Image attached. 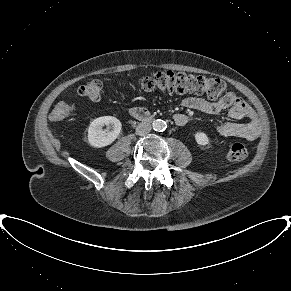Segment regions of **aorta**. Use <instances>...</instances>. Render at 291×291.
I'll list each match as a JSON object with an SVG mask.
<instances>
[{
  "instance_id": "obj_1",
  "label": "aorta",
  "mask_w": 291,
  "mask_h": 291,
  "mask_svg": "<svg viewBox=\"0 0 291 291\" xmlns=\"http://www.w3.org/2000/svg\"><path fill=\"white\" fill-rule=\"evenodd\" d=\"M166 127H167L166 122L161 119L154 120L152 123V128L155 131H159V132L164 131Z\"/></svg>"
}]
</instances>
